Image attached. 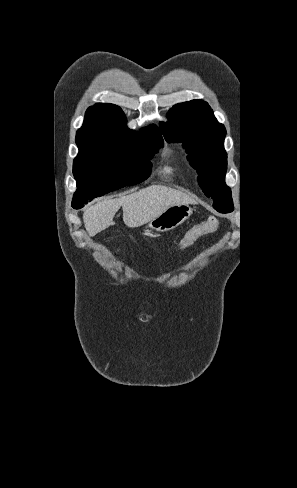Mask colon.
I'll return each mask as SVG.
<instances>
[{"label": "colon", "instance_id": "5ec220e1", "mask_svg": "<svg viewBox=\"0 0 297 488\" xmlns=\"http://www.w3.org/2000/svg\"><path fill=\"white\" fill-rule=\"evenodd\" d=\"M216 226V219L210 217L206 222L191 227L180 240L175 248L176 253H182L189 249L194 242L202 235L210 232Z\"/></svg>", "mask_w": 297, "mask_h": 488}]
</instances>
